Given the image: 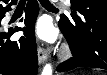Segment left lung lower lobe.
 Instances as JSON below:
<instances>
[{"label": "left lung lower lobe", "instance_id": "left-lung-lower-lobe-1", "mask_svg": "<svg viewBox=\"0 0 107 75\" xmlns=\"http://www.w3.org/2000/svg\"><path fill=\"white\" fill-rule=\"evenodd\" d=\"M59 28L67 39L73 57L61 63L57 71H70L77 67H93L107 69V19L100 18L93 22L85 21L82 28V37L90 44L89 55H78L74 52V37L59 25ZM81 39V38H77Z\"/></svg>", "mask_w": 107, "mask_h": 75}]
</instances>
